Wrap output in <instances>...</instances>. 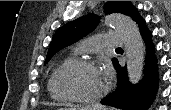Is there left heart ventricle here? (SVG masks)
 Listing matches in <instances>:
<instances>
[{"instance_id":"1","label":"left heart ventricle","mask_w":171,"mask_h":110,"mask_svg":"<svg viewBox=\"0 0 171 110\" xmlns=\"http://www.w3.org/2000/svg\"><path fill=\"white\" fill-rule=\"evenodd\" d=\"M60 82L71 94L91 97L105 88L107 79L99 70L79 66L68 68L62 74Z\"/></svg>"}]
</instances>
